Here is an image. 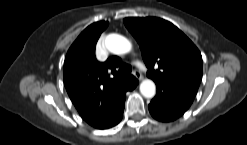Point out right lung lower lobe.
I'll list each match as a JSON object with an SVG mask.
<instances>
[{"mask_svg":"<svg viewBox=\"0 0 247 145\" xmlns=\"http://www.w3.org/2000/svg\"><path fill=\"white\" fill-rule=\"evenodd\" d=\"M137 84H138V80L134 77L133 81L130 82L127 85V87L123 90V98L121 100V105L117 113L98 122L97 124L93 125V127L98 128V129H107V128L113 127L116 124H118L121 121L122 116H123L126 92L132 91L137 86Z\"/></svg>","mask_w":247,"mask_h":145,"instance_id":"98d812e1","label":"right lung lower lobe"}]
</instances>
